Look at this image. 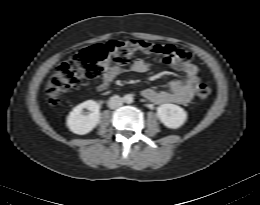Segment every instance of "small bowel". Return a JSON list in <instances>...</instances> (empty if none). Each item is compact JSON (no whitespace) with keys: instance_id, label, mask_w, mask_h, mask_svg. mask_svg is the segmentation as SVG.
<instances>
[{"instance_id":"small-bowel-1","label":"small bowel","mask_w":260,"mask_h":205,"mask_svg":"<svg viewBox=\"0 0 260 205\" xmlns=\"http://www.w3.org/2000/svg\"><path fill=\"white\" fill-rule=\"evenodd\" d=\"M148 69L149 66L143 59L135 60L130 66V71L134 73H145ZM125 71L124 67L105 61L97 90L106 91L111 83ZM183 72L185 79L172 80L168 88L164 90H157L152 87L145 88L142 91L143 97L155 104H189L196 93V86L199 82V68L195 64L189 63L183 68Z\"/></svg>"}]
</instances>
